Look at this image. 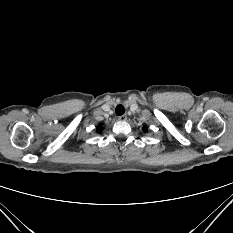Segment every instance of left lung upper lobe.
<instances>
[{
  "instance_id": "5c2ea615",
  "label": "left lung upper lobe",
  "mask_w": 233,
  "mask_h": 233,
  "mask_svg": "<svg viewBox=\"0 0 233 233\" xmlns=\"http://www.w3.org/2000/svg\"><path fill=\"white\" fill-rule=\"evenodd\" d=\"M143 130H144V131H147V128H146V127H144V128H143Z\"/></svg>"
}]
</instances>
